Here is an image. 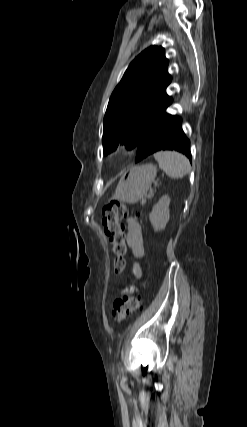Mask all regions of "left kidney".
I'll return each instance as SVG.
<instances>
[{
  "label": "left kidney",
  "mask_w": 247,
  "mask_h": 427,
  "mask_svg": "<svg viewBox=\"0 0 247 427\" xmlns=\"http://www.w3.org/2000/svg\"><path fill=\"white\" fill-rule=\"evenodd\" d=\"M170 198L168 195L162 196L149 214L150 222L155 231L164 230L170 218Z\"/></svg>",
  "instance_id": "5707ae66"
}]
</instances>
